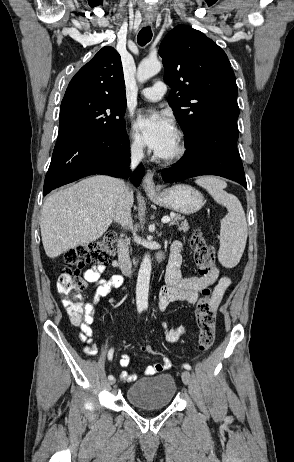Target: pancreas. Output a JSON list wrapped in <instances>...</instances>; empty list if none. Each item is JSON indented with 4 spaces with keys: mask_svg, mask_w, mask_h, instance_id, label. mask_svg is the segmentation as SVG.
Returning a JSON list of instances; mask_svg holds the SVG:
<instances>
[{
    "mask_svg": "<svg viewBox=\"0 0 294 462\" xmlns=\"http://www.w3.org/2000/svg\"><path fill=\"white\" fill-rule=\"evenodd\" d=\"M179 221H181V223H179ZM175 223L178 225L179 231L187 232L190 228L189 224L184 220V218L179 215H176L174 217V219L170 222V225H173Z\"/></svg>",
    "mask_w": 294,
    "mask_h": 462,
    "instance_id": "pancreas-1",
    "label": "pancreas"
}]
</instances>
